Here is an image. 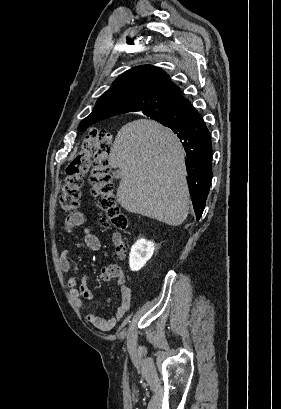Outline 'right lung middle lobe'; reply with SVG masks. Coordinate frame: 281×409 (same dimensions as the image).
<instances>
[{"label":"right lung middle lobe","mask_w":281,"mask_h":409,"mask_svg":"<svg viewBox=\"0 0 281 409\" xmlns=\"http://www.w3.org/2000/svg\"><path fill=\"white\" fill-rule=\"evenodd\" d=\"M154 120H157L159 123H161L164 126H169L173 123H175L176 121H178V119L175 116H166V117H160V118H154Z\"/></svg>","instance_id":"dd1d6c3e"}]
</instances>
